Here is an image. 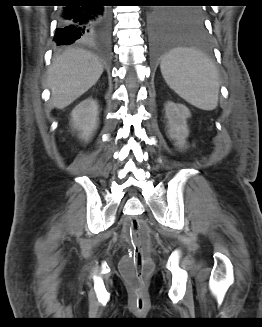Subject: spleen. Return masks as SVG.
<instances>
[{
    "label": "spleen",
    "mask_w": 262,
    "mask_h": 327,
    "mask_svg": "<svg viewBox=\"0 0 262 327\" xmlns=\"http://www.w3.org/2000/svg\"><path fill=\"white\" fill-rule=\"evenodd\" d=\"M160 68L169 87L188 103L203 110L217 107L219 76L208 57L193 49L177 48L163 57Z\"/></svg>",
    "instance_id": "spleen-1"
}]
</instances>
